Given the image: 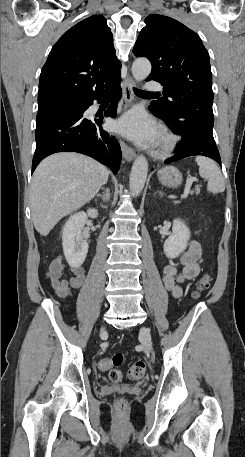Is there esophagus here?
Listing matches in <instances>:
<instances>
[{"label": "esophagus", "instance_id": "34e87169", "mask_svg": "<svg viewBox=\"0 0 245 457\" xmlns=\"http://www.w3.org/2000/svg\"><path fill=\"white\" fill-rule=\"evenodd\" d=\"M134 85L135 82L130 76H128L123 82L122 94L124 107L130 106L134 100ZM119 141L124 158L129 162L132 161L136 156V152L132 147L125 144L121 139H119Z\"/></svg>", "mask_w": 245, "mask_h": 457}]
</instances>
